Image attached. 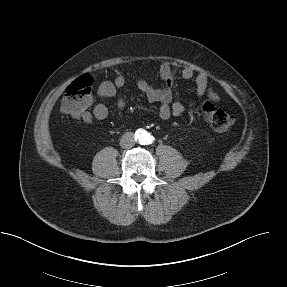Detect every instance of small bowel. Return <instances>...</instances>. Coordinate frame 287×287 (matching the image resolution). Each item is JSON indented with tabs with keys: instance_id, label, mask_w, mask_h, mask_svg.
<instances>
[{
	"instance_id": "small-bowel-1",
	"label": "small bowel",
	"mask_w": 287,
	"mask_h": 287,
	"mask_svg": "<svg viewBox=\"0 0 287 287\" xmlns=\"http://www.w3.org/2000/svg\"><path fill=\"white\" fill-rule=\"evenodd\" d=\"M180 76L183 80H195L196 84V98H200L207 95L209 99L217 102L219 100L218 94L209 87L208 76L201 72L195 73L190 67L180 68L178 65H172L170 63H162L159 67L158 77L163 83L162 86H154L144 79H137V88L145 95V97L154 103L159 104V116L163 120L169 119L171 116L181 115L186 107L179 101L173 99V87L176 77ZM126 79L122 74L116 76L114 81L102 82L96 92V96L100 100H106L115 97L118 90L125 86ZM195 103V100L190 102V106ZM117 105L120 109L125 106V101L122 98H118ZM108 108L103 103H97L94 105L91 111H86L81 119L86 124H91L95 120H104L108 116Z\"/></svg>"
}]
</instances>
